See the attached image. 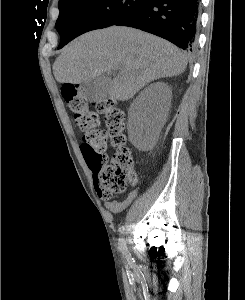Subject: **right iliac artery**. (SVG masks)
Here are the masks:
<instances>
[{
	"instance_id": "82829eb1",
	"label": "right iliac artery",
	"mask_w": 245,
	"mask_h": 300,
	"mask_svg": "<svg viewBox=\"0 0 245 300\" xmlns=\"http://www.w3.org/2000/svg\"><path fill=\"white\" fill-rule=\"evenodd\" d=\"M119 233H120V237H119V240H118V245H119L118 248L124 255H127V246H126V241H125V238H124V233H125V227L124 226H120Z\"/></svg>"
}]
</instances>
